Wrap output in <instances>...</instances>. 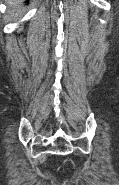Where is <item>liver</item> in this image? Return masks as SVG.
<instances>
[{
    "mask_svg": "<svg viewBox=\"0 0 119 185\" xmlns=\"http://www.w3.org/2000/svg\"><path fill=\"white\" fill-rule=\"evenodd\" d=\"M5 2L10 6V7H13V8H17V6L19 4H21L23 2V0H5Z\"/></svg>",
    "mask_w": 119,
    "mask_h": 185,
    "instance_id": "1",
    "label": "liver"
}]
</instances>
